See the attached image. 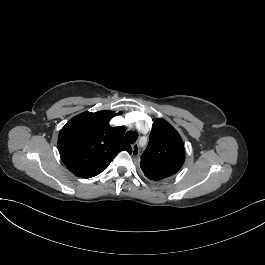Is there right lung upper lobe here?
<instances>
[{
  "instance_id": "1",
  "label": "right lung upper lobe",
  "mask_w": 265,
  "mask_h": 265,
  "mask_svg": "<svg viewBox=\"0 0 265 265\" xmlns=\"http://www.w3.org/2000/svg\"><path fill=\"white\" fill-rule=\"evenodd\" d=\"M112 111L83 112L61 129L58 150L66 167L76 176L91 178L104 171L123 150L132 152L122 126L110 127Z\"/></svg>"
}]
</instances>
